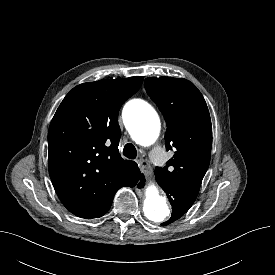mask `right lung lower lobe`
I'll use <instances>...</instances> for the list:
<instances>
[{
  "label": "right lung lower lobe",
  "instance_id": "right-lung-lower-lobe-1",
  "mask_svg": "<svg viewBox=\"0 0 275 275\" xmlns=\"http://www.w3.org/2000/svg\"><path fill=\"white\" fill-rule=\"evenodd\" d=\"M139 180H141L139 182ZM138 183V186H142L143 184V176L140 174L139 168H136L133 173L127 179L125 186L134 187Z\"/></svg>",
  "mask_w": 275,
  "mask_h": 275
}]
</instances>
